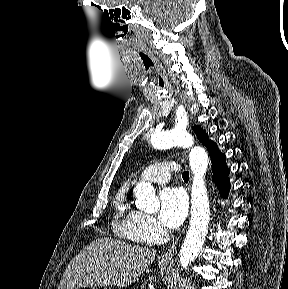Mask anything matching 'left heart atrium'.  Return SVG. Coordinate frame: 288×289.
<instances>
[{"mask_svg":"<svg viewBox=\"0 0 288 289\" xmlns=\"http://www.w3.org/2000/svg\"><path fill=\"white\" fill-rule=\"evenodd\" d=\"M158 218L169 228L178 227L184 220L187 212V198L183 190L176 187H167L159 194Z\"/></svg>","mask_w":288,"mask_h":289,"instance_id":"1","label":"left heart atrium"}]
</instances>
